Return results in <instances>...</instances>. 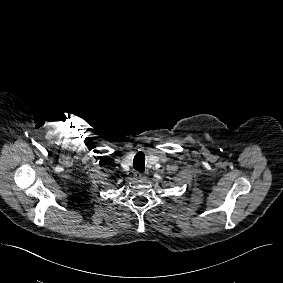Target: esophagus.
Here are the masks:
<instances>
[{
    "label": "esophagus",
    "instance_id": "obj_1",
    "mask_svg": "<svg viewBox=\"0 0 283 283\" xmlns=\"http://www.w3.org/2000/svg\"><path fill=\"white\" fill-rule=\"evenodd\" d=\"M134 178H135L136 180L141 181V180H144V179H145V175H144L143 173H141V172H135V173H134Z\"/></svg>",
    "mask_w": 283,
    "mask_h": 283
}]
</instances>
